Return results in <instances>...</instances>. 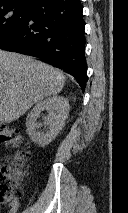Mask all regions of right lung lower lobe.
<instances>
[{
	"mask_svg": "<svg viewBox=\"0 0 128 213\" xmlns=\"http://www.w3.org/2000/svg\"><path fill=\"white\" fill-rule=\"evenodd\" d=\"M0 49L47 60L68 71L85 89L87 64L80 0H38L23 24L0 41Z\"/></svg>",
	"mask_w": 128,
	"mask_h": 213,
	"instance_id": "obj_1",
	"label": "right lung lower lobe"
}]
</instances>
